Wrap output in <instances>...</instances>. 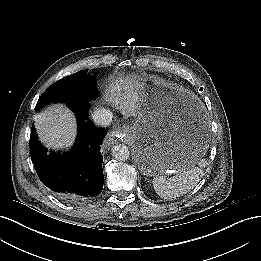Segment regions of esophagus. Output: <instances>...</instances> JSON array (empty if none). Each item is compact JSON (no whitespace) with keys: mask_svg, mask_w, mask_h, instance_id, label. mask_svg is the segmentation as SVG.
<instances>
[{"mask_svg":"<svg viewBox=\"0 0 261 261\" xmlns=\"http://www.w3.org/2000/svg\"><path fill=\"white\" fill-rule=\"evenodd\" d=\"M123 129H117V130H114L112 131L110 134H109V143L108 145H111V144H116L120 139L123 138Z\"/></svg>","mask_w":261,"mask_h":261,"instance_id":"34e87169","label":"esophagus"}]
</instances>
